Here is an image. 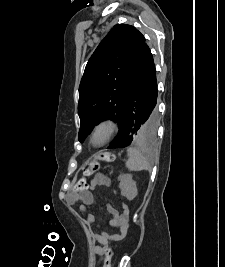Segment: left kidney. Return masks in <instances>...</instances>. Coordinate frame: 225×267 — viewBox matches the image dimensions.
<instances>
[{
    "mask_svg": "<svg viewBox=\"0 0 225 267\" xmlns=\"http://www.w3.org/2000/svg\"><path fill=\"white\" fill-rule=\"evenodd\" d=\"M119 187L121 189V195L126 197L128 200H133L137 194L136 182L133 180L130 174H123L119 176Z\"/></svg>",
    "mask_w": 225,
    "mask_h": 267,
    "instance_id": "left-kidney-1",
    "label": "left kidney"
}]
</instances>
